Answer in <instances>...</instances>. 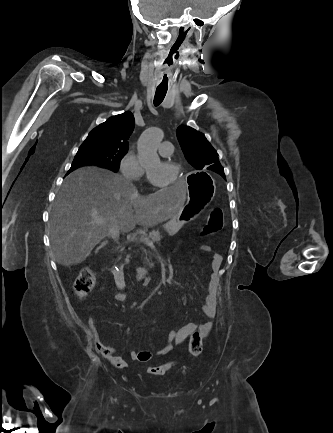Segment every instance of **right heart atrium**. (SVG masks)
<instances>
[{"mask_svg": "<svg viewBox=\"0 0 333 433\" xmlns=\"http://www.w3.org/2000/svg\"><path fill=\"white\" fill-rule=\"evenodd\" d=\"M122 175L131 180H138L144 175V169L132 152L125 153L119 164Z\"/></svg>", "mask_w": 333, "mask_h": 433, "instance_id": "1", "label": "right heart atrium"}]
</instances>
